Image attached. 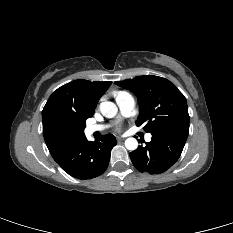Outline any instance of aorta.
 Wrapping results in <instances>:
<instances>
[{"label": "aorta", "instance_id": "762f6f07", "mask_svg": "<svg viewBox=\"0 0 233 233\" xmlns=\"http://www.w3.org/2000/svg\"><path fill=\"white\" fill-rule=\"evenodd\" d=\"M100 111L106 118H113L117 114L118 108L113 102L105 101L100 104ZM125 147L131 151L136 150L138 141L135 138H127Z\"/></svg>", "mask_w": 233, "mask_h": 233}]
</instances>
